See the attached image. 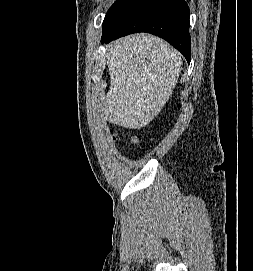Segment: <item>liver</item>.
<instances>
[{"mask_svg": "<svg viewBox=\"0 0 253 271\" xmlns=\"http://www.w3.org/2000/svg\"><path fill=\"white\" fill-rule=\"evenodd\" d=\"M107 48L110 90L104 100L105 119L127 129L145 127L172 94L182 57L164 40L144 33Z\"/></svg>", "mask_w": 253, "mask_h": 271, "instance_id": "1", "label": "liver"}]
</instances>
